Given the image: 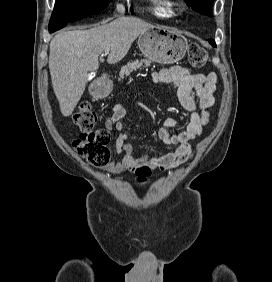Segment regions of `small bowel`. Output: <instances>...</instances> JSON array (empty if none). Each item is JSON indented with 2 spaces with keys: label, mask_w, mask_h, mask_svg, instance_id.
Segmentation results:
<instances>
[{
  "label": "small bowel",
  "mask_w": 272,
  "mask_h": 282,
  "mask_svg": "<svg viewBox=\"0 0 272 282\" xmlns=\"http://www.w3.org/2000/svg\"><path fill=\"white\" fill-rule=\"evenodd\" d=\"M154 82L162 85H173L181 106L190 113V121L184 131H172L180 127V120L175 117L165 119L159 129L158 136L167 145H175L176 149L152 157L149 154L137 155L131 151V144L140 145L139 141L131 140L123 131L121 120L127 110L122 105L114 107L112 114L105 122L107 129L115 127L117 131L116 152L122 154L119 160L110 161L103 170L113 175L132 170L139 165H147L153 169L167 170L175 168L193 158L194 153L190 142L200 136L203 128L210 122L211 110L215 105L217 74L193 73L190 68L171 66L161 69L152 76ZM195 92L197 99L191 95Z\"/></svg>",
  "instance_id": "1"
}]
</instances>
